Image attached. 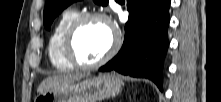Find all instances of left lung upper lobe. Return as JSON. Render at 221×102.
I'll use <instances>...</instances> for the list:
<instances>
[{"label":"left lung upper lobe","mask_w":221,"mask_h":102,"mask_svg":"<svg viewBox=\"0 0 221 102\" xmlns=\"http://www.w3.org/2000/svg\"><path fill=\"white\" fill-rule=\"evenodd\" d=\"M75 1L76 0H46L43 13L45 28L50 29L54 18ZM94 2L100 5H107L108 3L106 0H94Z\"/></svg>","instance_id":"1"}]
</instances>
